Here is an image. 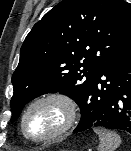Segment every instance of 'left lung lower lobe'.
Returning <instances> with one entry per match:
<instances>
[{
	"instance_id": "obj_1",
	"label": "left lung lower lobe",
	"mask_w": 131,
	"mask_h": 151,
	"mask_svg": "<svg viewBox=\"0 0 131 151\" xmlns=\"http://www.w3.org/2000/svg\"><path fill=\"white\" fill-rule=\"evenodd\" d=\"M95 126L131 133V44L111 55L98 70L73 132Z\"/></svg>"
}]
</instances>
